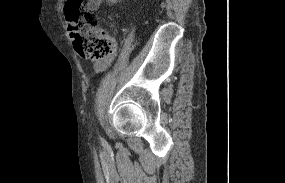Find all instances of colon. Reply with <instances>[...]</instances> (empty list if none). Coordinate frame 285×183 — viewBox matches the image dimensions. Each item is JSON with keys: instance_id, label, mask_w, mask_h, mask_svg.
<instances>
[{"instance_id": "obj_1", "label": "colon", "mask_w": 285, "mask_h": 183, "mask_svg": "<svg viewBox=\"0 0 285 183\" xmlns=\"http://www.w3.org/2000/svg\"><path fill=\"white\" fill-rule=\"evenodd\" d=\"M64 15L73 46L80 56L98 62L116 54L114 35L98 27V17L83 8V0H68Z\"/></svg>"}]
</instances>
